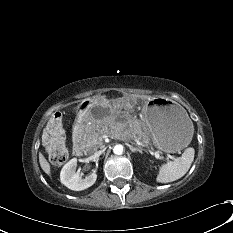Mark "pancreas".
I'll return each mask as SVG.
<instances>
[{
	"label": "pancreas",
	"instance_id": "cf45deb5",
	"mask_svg": "<svg viewBox=\"0 0 233 233\" xmlns=\"http://www.w3.org/2000/svg\"><path fill=\"white\" fill-rule=\"evenodd\" d=\"M122 126L116 125L112 120L108 119L99 123H91L85 128L84 142L87 148L96 150L103 147V136L109 135L114 138L129 140L137 138L143 142L149 140V135L144 128L138 124L132 127L124 134L121 132Z\"/></svg>",
	"mask_w": 233,
	"mask_h": 233
}]
</instances>
